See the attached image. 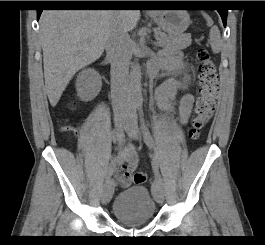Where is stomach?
Returning <instances> with one entry per match:
<instances>
[{
  "label": "stomach",
  "mask_w": 265,
  "mask_h": 245,
  "mask_svg": "<svg viewBox=\"0 0 265 245\" xmlns=\"http://www.w3.org/2000/svg\"><path fill=\"white\" fill-rule=\"evenodd\" d=\"M151 17L162 30L172 36L181 35L191 22L185 10H157Z\"/></svg>",
  "instance_id": "obj_1"
}]
</instances>
